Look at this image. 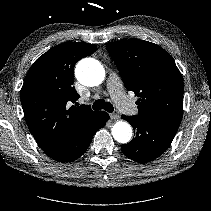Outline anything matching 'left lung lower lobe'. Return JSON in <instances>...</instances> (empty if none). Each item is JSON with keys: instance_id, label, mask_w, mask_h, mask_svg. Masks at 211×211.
<instances>
[{"instance_id": "left-lung-lower-lobe-1", "label": "left lung lower lobe", "mask_w": 211, "mask_h": 211, "mask_svg": "<svg viewBox=\"0 0 211 211\" xmlns=\"http://www.w3.org/2000/svg\"><path fill=\"white\" fill-rule=\"evenodd\" d=\"M128 121L135 132V138L121 146L128 158L147 163L162 155L170 146L180 122L143 119L138 116H121Z\"/></svg>"}]
</instances>
